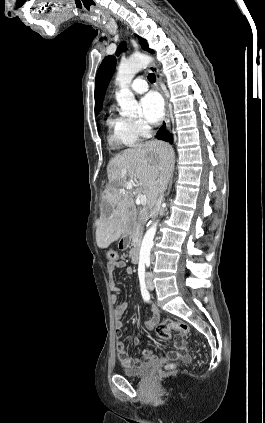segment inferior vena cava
<instances>
[{
	"mask_svg": "<svg viewBox=\"0 0 265 423\" xmlns=\"http://www.w3.org/2000/svg\"><path fill=\"white\" fill-rule=\"evenodd\" d=\"M163 201V194L160 195V197L158 198L156 205H155V211L152 213V216H156L158 214V212L161 209V203Z\"/></svg>",
	"mask_w": 265,
	"mask_h": 423,
	"instance_id": "obj_1",
	"label": "inferior vena cava"
}]
</instances>
